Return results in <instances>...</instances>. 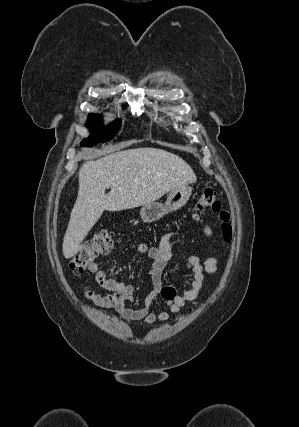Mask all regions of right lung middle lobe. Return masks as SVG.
Returning <instances> with one entry per match:
<instances>
[{
	"label": "right lung middle lobe",
	"instance_id": "obj_1",
	"mask_svg": "<svg viewBox=\"0 0 299 427\" xmlns=\"http://www.w3.org/2000/svg\"><path fill=\"white\" fill-rule=\"evenodd\" d=\"M101 116L99 114H90L87 120V127L92 130L89 138L82 142V146L91 147L99 142L110 140L120 126V121L116 120L106 127H101Z\"/></svg>",
	"mask_w": 299,
	"mask_h": 427
}]
</instances>
